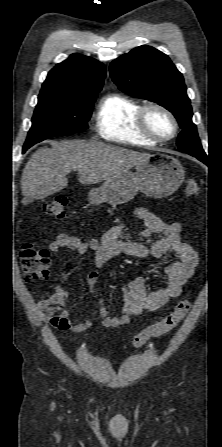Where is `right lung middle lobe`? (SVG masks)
Masks as SVG:
<instances>
[{
    "label": "right lung middle lobe",
    "mask_w": 222,
    "mask_h": 447,
    "mask_svg": "<svg viewBox=\"0 0 222 447\" xmlns=\"http://www.w3.org/2000/svg\"><path fill=\"white\" fill-rule=\"evenodd\" d=\"M97 94L70 95L57 90H41L32 118L24 152L32 145L49 137L82 132Z\"/></svg>",
    "instance_id": "1"
}]
</instances>
